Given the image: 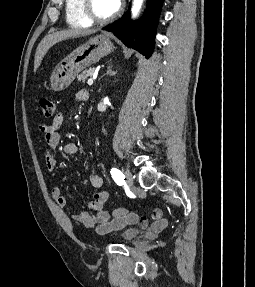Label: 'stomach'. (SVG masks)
Masks as SVG:
<instances>
[{"mask_svg": "<svg viewBox=\"0 0 255 287\" xmlns=\"http://www.w3.org/2000/svg\"><path fill=\"white\" fill-rule=\"evenodd\" d=\"M113 48L109 36H95V38H90L88 42L75 48L67 58L66 70L52 74V90L59 92V90L68 88L79 72L89 68L92 64H96L104 56H108Z\"/></svg>", "mask_w": 255, "mask_h": 287, "instance_id": "stomach-1", "label": "stomach"}]
</instances>
